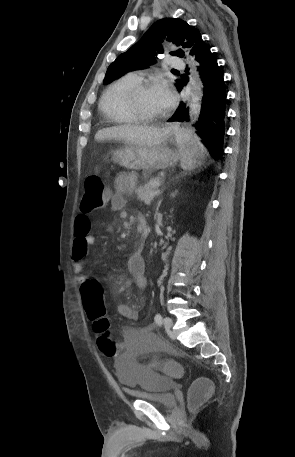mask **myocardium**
<instances>
[{"instance_id": "f54148a6", "label": "myocardium", "mask_w": 295, "mask_h": 457, "mask_svg": "<svg viewBox=\"0 0 295 457\" xmlns=\"http://www.w3.org/2000/svg\"><path fill=\"white\" fill-rule=\"evenodd\" d=\"M153 87V83L150 81L138 82L133 85L126 93V104L130 112L135 118L142 122H156L164 118L166 113L159 115L146 114L139 105V96L144 90Z\"/></svg>"}]
</instances>
